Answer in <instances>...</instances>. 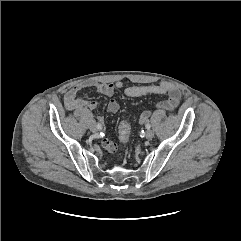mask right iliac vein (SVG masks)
<instances>
[{"mask_svg": "<svg viewBox=\"0 0 241 241\" xmlns=\"http://www.w3.org/2000/svg\"><path fill=\"white\" fill-rule=\"evenodd\" d=\"M90 130H91L93 133L98 132L97 125H95L94 123H93V124H91V126H90Z\"/></svg>", "mask_w": 241, "mask_h": 241, "instance_id": "right-iliac-vein-1", "label": "right iliac vein"}]
</instances>
